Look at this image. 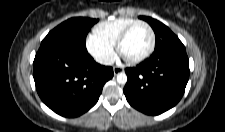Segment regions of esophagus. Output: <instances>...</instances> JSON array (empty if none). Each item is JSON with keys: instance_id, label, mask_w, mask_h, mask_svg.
<instances>
[{"instance_id": "34e87169", "label": "esophagus", "mask_w": 225, "mask_h": 132, "mask_svg": "<svg viewBox=\"0 0 225 132\" xmlns=\"http://www.w3.org/2000/svg\"><path fill=\"white\" fill-rule=\"evenodd\" d=\"M113 72H114L115 75H118L119 73L123 72V69L121 67L115 66L113 68Z\"/></svg>"}]
</instances>
